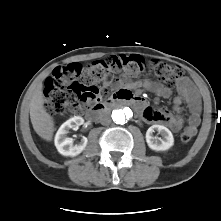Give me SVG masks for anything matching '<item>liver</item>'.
<instances>
[{
    "mask_svg": "<svg viewBox=\"0 0 221 221\" xmlns=\"http://www.w3.org/2000/svg\"><path fill=\"white\" fill-rule=\"evenodd\" d=\"M42 85L35 89L30 102V119L35 132L44 140L51 141L55 130L53 117L44 106Z\"/></svg>",
    "mask_w": 221,
    "mask_h": 221,
    "instance_id": "obj_1",
    "label": "liver"
}]
</instances>
